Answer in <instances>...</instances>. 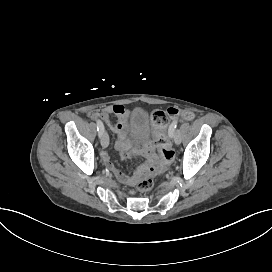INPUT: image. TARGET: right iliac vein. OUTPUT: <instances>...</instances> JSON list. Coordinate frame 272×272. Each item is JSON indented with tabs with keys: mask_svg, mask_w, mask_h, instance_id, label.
Segmentation results:
<instances>
[{
	"mask_svg": "<svg viewBox=\"0 0 272 272\" xmlns=\"http://www.w3.org/2000/svg\"><path fill=\"white\" fill-rule=\"evenodd\" d=\"M101 145L103 148H107L109 145V137L106 131H103L100 136Z\"/></svg>",
	"mask_w": 272,
	"mask_h": 272,
	"instance_id": "right-iliac-vein-1",
	"label": "right iliac vein"
}]
</instances>
